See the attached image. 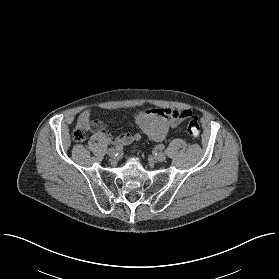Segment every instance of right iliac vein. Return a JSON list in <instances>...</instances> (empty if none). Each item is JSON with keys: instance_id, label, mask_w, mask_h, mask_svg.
I'll use <instances>...</instances> for the list:
<instances>
[{"instance_id": "right-iliac-vein-1", "label": "right iliac vein", "mask_w": 279, "mask_h": 279, "mask_svg": "<svg viewBox=\"0 0 279 279\" xmlns=\"http://www.w3.org/2000/svg\"><path fill=\"white\" fill-rule=\"evenodd\" d=\"M116 152H117V151H116L115 148H109V149L107 150V154H108V156H110V157L115 156Z\"/></svg>"}]
</instances>
